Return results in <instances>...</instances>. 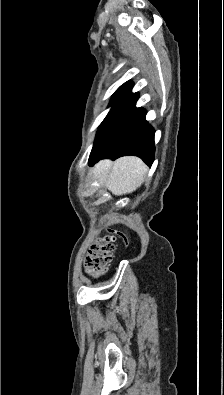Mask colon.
Wrapping results in <instances>:
<instances>
[{
  "mask_svg": "<svg viewBox=\"0 0 224 395\" xmlns=\"http://www.w3.org/2000/svg\"><path fill=\"white\" fill-rule=\"evenodd\" d=\"M114 250V236H106L97 240L85 258L86 270L93 276L102 275L113 259Z\"/></svg>",
  "mask_w": 224,
  "mask_h": 395,
  "instance_id": "colon-1",
  "label": "colon"
}]
</instances>
